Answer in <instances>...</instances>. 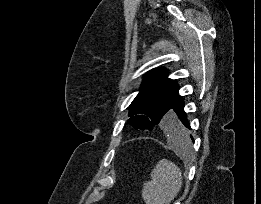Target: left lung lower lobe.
<instances>
[{
	"label": "left lung lower lobe",
	"instance_id": "obj_1",
	"mask_svg": "<svg viewBox=\"0 0 261 204\" xmlns=\"http://www.w3.org/2000/svg\"><path fill=\"white\" fill-rule=\"evenodd\" d=\"M162 128L173 140L184 141L187 138V129H191V127L184 112L183 98L179 94L170 109L168 118L162 124Z\"/></svg>",
	"mask_w": 261,
	"mask_h": 204
}]
</instances>
